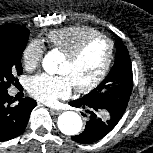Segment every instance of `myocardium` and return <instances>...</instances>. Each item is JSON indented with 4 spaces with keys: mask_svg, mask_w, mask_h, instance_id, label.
Listing matches in <instances>:
<instances>
[{
    "mask_svg": "<svg viewBox=\"0 0 153 153\" xmlns=\"http://www.w3.org/2000/svg\"><path fill=\"white\" fill-rule=\"evenodd\" d=\"M98 39H103V40L107 41V43L109 45L107 59L103 65L101 71L99 72V74L96 76V78L93 81H91L89 84H87L85 86L74 87V89L79 93L91 92L96 87H98L102 83V81L105 79V77L107 76V74L110 71V68H111V65H112L113 59H114V54H115L114 41L109 36H107L105 34H101V33L95 34V35L89 36L86 39H84L83 41H81L72 51H70L69 53H67L65 55V58L69 62H74L81 56V54L88 47V45H90L92 42H94Z\"/></svg>",
    "mask_w": 153,
    "mask_h": 153,
    "instance_id": "1",
    "label": "myocardium"
}]
</instances>
